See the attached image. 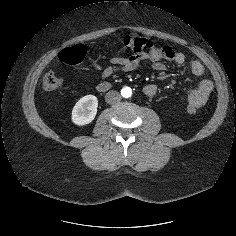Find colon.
Here are the masks:
<instances>
[{
  "instance_id": "obj_1",
  "label": "colon",
  "mask_w": 236,
  "mask_h": 236,
  "mask_svg": "<svg viewBox=\"0 0 236 236\" xmlns=\"http://www.w3.org/2000/svg\"><path fill=\"white\" fill-rule=\"evenodd\" d=\"M116 43L121 47L136 53H149L157 49L156 44L147 38L136 35H124L116 39ZM87 49L82 44L63 49L59 54V60L67 65L75 66L80 64L86 57ZM63 80L55 72H48L43 79V87L47 91H55L61 88ZM190 112L196 109L189 107Z\"/></svg>"
}]
</instances>
